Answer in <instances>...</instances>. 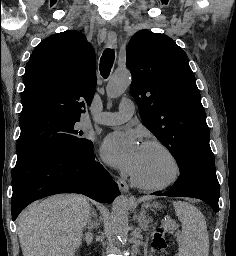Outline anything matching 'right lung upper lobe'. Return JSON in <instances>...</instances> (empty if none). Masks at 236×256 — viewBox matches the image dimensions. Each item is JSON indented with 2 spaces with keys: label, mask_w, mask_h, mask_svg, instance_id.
I'll list each match as a JSON object with an SVG mask.
<instances>
[{
  "label": "right lung upper lobe",
  "mask_w": 236,
  "mask_h": 256,
  "mask_svg": "<svg viewBox=\"0 0 236 256\" xmlns=\"http://www.w3.org/2000/svg\"><path fill=\"white\" fill-rule=\"evenodd\" d=\"M21 117L54 112L79 118L96 90L95 53L84 34L68 30L44 39L26 64Z\"/></svg>",
  "instance_id": "cb5924a9"
}]
</instances>
